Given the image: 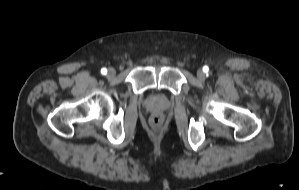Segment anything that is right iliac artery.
Instances as JSON below:
<instances>
[{
	"label": "right iliac artery",
	"mask_w": 299,
	"mask_h": 190,
	"mask_svg": "<svg viewBox=\"0 0 299 190\" xmlns=\"http://www.w3.org/2000/svg\"><path fill=\"white\" fill-rule=\"evenodd\" d=\"M101 73H102L103 75L107 74V69H106V68H102V69H101Z\"/></svg>",
	"instance_id": "82829eb1"
}]
</instances>
